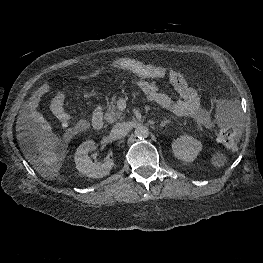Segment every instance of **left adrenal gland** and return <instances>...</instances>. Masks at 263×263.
Masks as SVG:
<instances>
[{"label":"left adrenal gland","mask_w":263,"mask_h":263,"mask_svg":"<svg viewBox=\"0 0 263 263\" xmlns=\"http://www.w3.org/2000/svg\"><path fill=\"white\" fill-rule=\"evenodd\" d=\"M170 121L169 120H163L160 124V128H163L165 125L169 124Z\"/></svg>","instance_id":"obj_1"}]
</instances>
